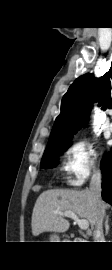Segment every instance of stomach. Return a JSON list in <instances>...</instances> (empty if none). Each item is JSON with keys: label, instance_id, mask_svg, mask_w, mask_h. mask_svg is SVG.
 <instances>
[{"label": "stomach", "instance_id": "0dacf381", "mask_svg": "<svg viewBox=\"0 0 112 270\" xmlns=\"http://www.w3.org/2000/svg\"><path fill=\"white\" fill-rule=\"evenodd\" d=\"M50 239H51V242H56L55 240H58V235L53 234V235H51Z\"/></svg>", "mask_w": 112, "mask_h": 270}]
</instances>
